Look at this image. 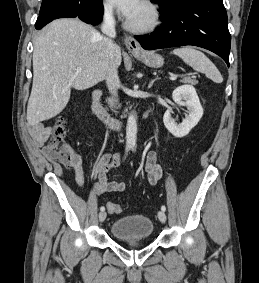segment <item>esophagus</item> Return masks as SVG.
Listing matches in <instances>:
<instances>
[{
    "mask_svg": "<svg viewBox=\"0 0 259 283\" xmlns=\"http://www.w3.org/2000/svg\"><path fill=\"white\" fill-rule=\"evenodd\" d=\"M124 43L127 47V49L132 53V54H139L141 53V45L140 43L132 36L125 35L124 36Z\"/></svg>",
    "mask_w": 259,
    "mask_h": 283,
    "instance_id": "obj_1",
    "label": "esophagus"
}]
</instances>
